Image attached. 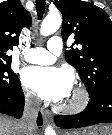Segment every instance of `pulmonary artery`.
Here are the masks:
<instances>
[{"label": "pulmonary artery", "instance_id": "1", "mask_svg": "<svg viewBox=\"0 0 112 135\" xmlns=\"http://www.w3.org/2000/svg\"><path fill=\"white\" fill-rule=\"evenodd\" d=\"M63 44L58 37H52L47 42V48H31L25 54V60L29 63L47 65L55 62L61 53Z\"/></svg>", "mask_w": 112, "mask_h": 135}]
</instances>
